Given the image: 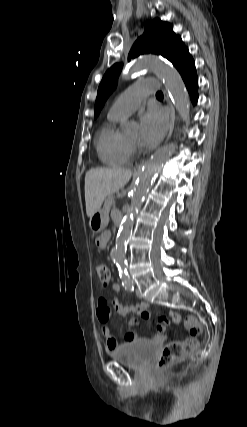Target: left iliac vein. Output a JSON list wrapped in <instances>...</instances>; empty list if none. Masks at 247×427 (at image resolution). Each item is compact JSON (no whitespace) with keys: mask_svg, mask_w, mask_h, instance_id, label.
Here are the masks:
<instances>
[{"mask_svg":"<svg viewBox=\"0 0 247 427\" xmlns=\"http://www.w3.org/2000/svg\"><path fill=\"white\" fill-rule=\"evenodd\" d=\"M135 293H136L137 297L142 298L141 291L138 288H136Z\"/></svg>","mask_w":247,"mask_h":427,"instance_id":"obj_1","label":"left iliac vein"}]
</instances>
